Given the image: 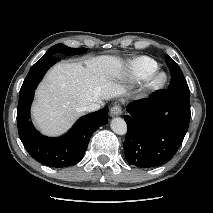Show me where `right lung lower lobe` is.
<instances>
[{"label":"right lung lower lobe","instance_id":"1","mask_svg":"<svg viewBox=\"0 0 213 213\" xmlns=\"http://www.w3.org/2000/svg\"><path fill=\"white\" fill-rule=\"evenodd\" d=\"M57 61L59 58L55 56L43 58L30 69L20 89L17 125L24 147L35 160L43 165L61 168L81 161L93 132L108 122V108L83 116L65 136L49 138L41 135L30 121V105L37 84Z\"/></svg>","mask_w":213,"mask_h":213}]
</instances>
